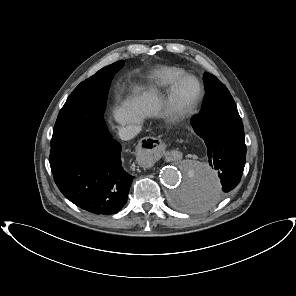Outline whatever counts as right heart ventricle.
<instances>
[{"label":"right heart ventricle","instance_id":"1","mask_svg":"<svg viewBox=\"0 0 296 296\" xmlns=\"http://www.w3.org/2000/svg\"><path fill=\"white\" fill-rule=\"evenodd\" d=\"M185 75V71L176 67H163L155 72L151 86L156 90H163L172 85L178 78Z\"/></svg>","mask_w":296,"mask_h":296}]
</instances>
